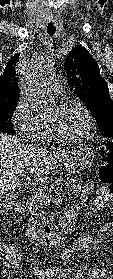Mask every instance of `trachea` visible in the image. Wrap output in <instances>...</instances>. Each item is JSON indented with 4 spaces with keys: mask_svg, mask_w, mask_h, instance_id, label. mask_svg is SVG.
Returning a JSON list of instances; mask_svg holds the SVG:
<instances>
[{
    "mask_svg": "<svg viewBox=\"0 0 113 279\" xmlns=\"http://www.w3.org/2000/svg\"><path fill=\"white\" fill-rule=\"evenodd\" d=\"M55 31H56V27H55V26H53V25H48V27H47V33H48L49 35H53V34L55 33Z\"/></svg>",
    "mask_w": 113,
    "mask_h": 279,
    "instance_id": "obj_1",
    "label": "trachea"
}]
</instances>
